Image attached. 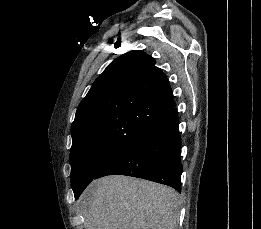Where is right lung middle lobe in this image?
<instances>
[{
	"instance_id": "obj_1",
	"label": "right lung middle lobe",
	"mask_w": 261,
	"mask_h": 229,
	"mask_svg": "<svg viewBox=\"0 0 261 229\" xmlns=\"http://www.w3.org/2000/svg\"><path fill=\"white\" fill-rule=\"evenodd\" d=\"M148 131H141L139 139ZM130 146L84 142L72 145L70 153L71 184L77 199L86 186Z\"/></svg>"
}]
</instances>
